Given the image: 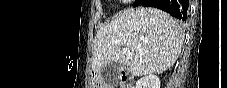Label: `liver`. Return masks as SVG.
Instances as JSON below:
<instances>
[{
    "instance_id": "obj_1",
    "label": "liver",
    "mask_w": 227,
    "mask_h": 88,
    "mask_svg": "<svg viewBox=\"0 0 227 88\" xmlns=\"http://www.w3.org/2000/svg\"><path fill=\"white\" fill-rule=\"evenodd\" d=\"M183 30L166 12L151 8H127L98 30L93 46L92 70L119 63L135 76L163 73L182 49ZM128 49L132 58L123 54Z\"/></svg>"
}]
</instances>
